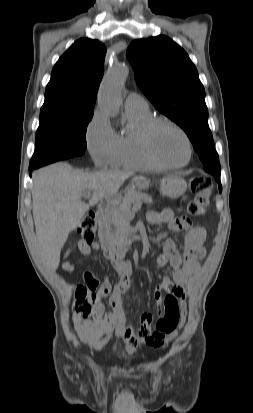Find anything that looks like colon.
Returning a JSON list of instances; mask_svg holds the SVG:
<instances>
[{"label": "colon", "instance_id": "5ec220e1", "mask_svg": "<svg viewBox=\"0 0 253 413\" xmlns=\"http://www.w3.org/2000/svg\"><path fill=\"white\" fill-rule=\"evenodd\" d=\"M190 190L194 194V197L187 205V212L191 216H202L209 204L211 182L204 177H195L190 181ZM96 228L97 221L95 215L93 213L87 214L78 227L81 241L86 244L92 243ZM101 299L102 296L97 285L87 284V286H78L75 290L74 315L82 318L89 317ZM181 317L182 313L177 297L168 293L162 299V311L153 332L154 339L158 343H164L179 326Z\"/></svg>", "mask_w": 253, "mask_h": 413}]
</instances>
